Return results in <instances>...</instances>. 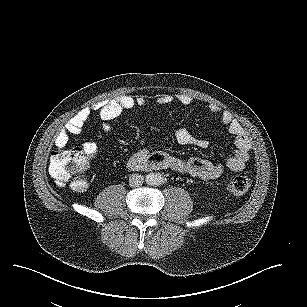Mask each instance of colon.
Listing matches in <instances>:
<instances>
[{"instance_id": "5ec220e1", "label": "colon", "mask_w": 307, "mask_h": 307, "mask_svg": "<svg viewBox=\"0 0 307 307\" xmlns=\"http://www.w3.org/2000/svg\"><path fill=\"white\" fill-rule=\"evenodd\" d=\"M89 161L80 148H71L65 151L53 152L49 162L50 175L59 185L69 184L73 189L85 188L87 181L84 174ZM251 179L245 175L230 177L226 182L227 191L236 196L248 192Z\"/></svg>"}]
</instances>
